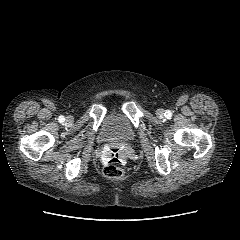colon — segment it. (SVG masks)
<instances>
[{"label": "colon", "mask_w": 240, "mask_h": 240, "mask_svg": "<svg viewBox=\"0 0 240 240\" xmlns=\"http://www.w3.org/2000/svg\"><path fill=\"white\" fill-rule=\"evenodd\" d=\"M103 174L109 179H119L124 175L123 160L116 152L106 160Z\"/></svg>", "instance_id": "1"}]
</instances>
